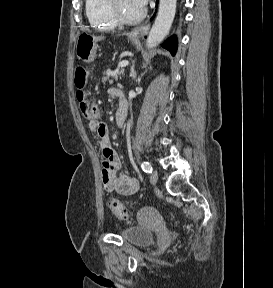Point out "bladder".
<instances>
[{
	"instance_id": "31cf9c89",
	"label": "bladder",
	"mask_w": 273,
	"mask_h": 288,
	"mask_svg": "<svg viewBox=\"0 0 273 288\" xmlns=\"http://www.w3.org/2000/svg\"><path fill=\"white\" fill-rule=\"evenodd\" d=\"M122 238L135 246H148L154 242V233L141 226H131L121 232Z\"/></svg>"
}]
</instances>
